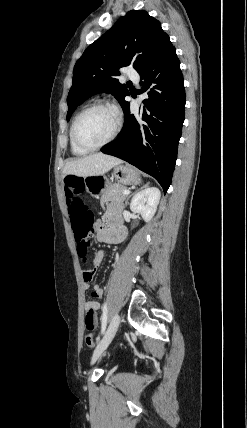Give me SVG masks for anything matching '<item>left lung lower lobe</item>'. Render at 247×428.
Segmentation results:
<instances>
[{
    "mask_svg": "<svg viewBox=\"0 0 247 428\" xmlns=\"http://www.w3.org/2000/svg\"><path fill=\"white\" fill-rule=\"evenodd\" d=\"M147 98L138 117L123 108L124 128L120 136L101 151L116 156L153 176L167 192L175 167L185 119V88L176 49L156 57L139 72Z\"/></svg>",
    "mask_w": 247,
    "mask_h": 428,
    "instance_id": "obj_1",
    "label": "left lung lower lobe"
}]
</instances>
